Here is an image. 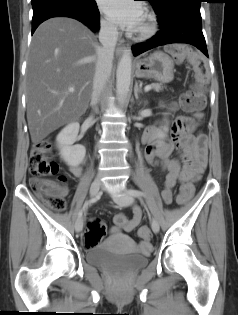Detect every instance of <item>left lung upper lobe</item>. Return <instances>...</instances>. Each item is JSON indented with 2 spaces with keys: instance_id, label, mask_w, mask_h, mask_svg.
Here are the masks:
<instances>
[{
  "instance_id": "obj_1",
  "label": "left lung upper lobe",
  "mask_w": 238,
  "mask_h": 315,
  "mask_svg": "<svg viewBox=\"0 0 238 315\" xmlns=\"http://www.w3.org/2000/svg\"><path fill=\"white\" fill-rule=\"evenodd\" d=\"M147 1H150L152 3V6L155 12H159V11H162L164 8H167L176 3H179L182 1H190V0H147ZM195 1H201V0H195Z\"/></svg>"
}]
</instances>
